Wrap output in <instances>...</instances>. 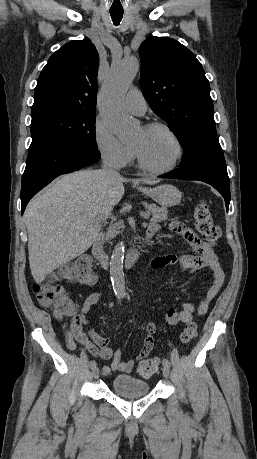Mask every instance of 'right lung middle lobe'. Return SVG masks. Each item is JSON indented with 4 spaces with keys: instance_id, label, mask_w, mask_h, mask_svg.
<instances>
[{
    "instance_id": "obj_1",
    "label": "right lung middle lobe",
    "mask_w": 257,
    "mask_h": 459,
    "mask_svg": "<svg viewBox=\"0 0 257 459\" xmlns=\"http://www.w3.org/2000/svg\"><path fill=\"white\" fill-rule=\"evenodd\" d=\"M95 111L50 107L32 112L30 148L72 145L99 155L95 139Z\"/></svg>"
}]
</instances>
